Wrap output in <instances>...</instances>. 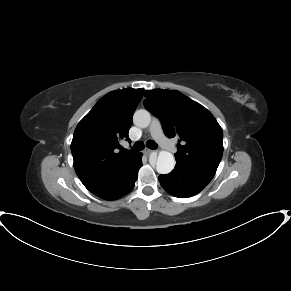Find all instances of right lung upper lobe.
Returning <instances> with one entry per match:
<instances>
[{"mask_svg": "<svg viewBox=\"0 0 291 291\" xmlns=\"http://www.w3.org/2000/svg\"><path fill=\"white\" fill-rule=\"evenodd\" d=\"M144 89L109 92L78 123L71 143L76 174L85 186L108 181L128 168L138 153L122 151ZM120 148V151H119Z\"/></svg>", "mask_w": 291, "mask_h": 291, "instance_id": "cb5924a9", "label": "right lung upper lobe"}]
</instances>
